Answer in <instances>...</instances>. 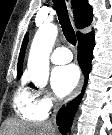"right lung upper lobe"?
Wrapping results in <instances>:
<instances>
[{
	"label": "right lung upper lobe",
	"instance_id": "right-lung-upper-lobe-1",
	"mask_svg": "<svg viewBox=\"0 0 112 135\" xmlns=\"http://www.w3.org/2000/svg\"><path fill=\"white\" fill-rule=\"evenodd\" d=\"M71 3L74 10L76 27L82 29L91 26L93 22V13H92V7L89 5L88 0H72ZM92 34L93 32L87 34H82L78 32L77 39L79 41L80 39H83ZM27 42H28V34H26L23 40L19 59H18V68H17L18 77H21L22 75L23 59H24V53L27 46Z\"/></svg>",
	"mask_w": 112,
	"mask_h": 135
}]
</instances>
